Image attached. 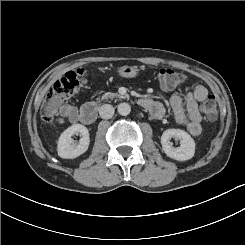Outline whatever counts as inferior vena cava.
Here are the masks:
<instances>
[{"label": "inferior vena cava", "instance_id": "inferior-vena-cava-1", "mask_svg": "<svg viewBox=\"0 0 245 245\" xmlns=\"http://www.w3.org/2000/svg\"><path fill=\"white\" fill-rule=\"evenodd\" d=\"M99 114L102 119H110L113 117L114 108L109 104H104L100 107Z\"/></svg>", "mask_w": 245, "mask_h": 245}]
</instances>
